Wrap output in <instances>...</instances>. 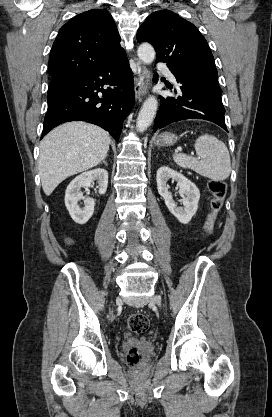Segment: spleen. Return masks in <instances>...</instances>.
Returning <instances> with one entry per match:
<instances>
[{"mask_svg": "<svg viewBox=\"0 0 272 417\" xmlns=\"http://www.w3.org/2000/svg\"><path fill=\"white\" fill-rule=\"evenodd\" d=\"M194 147L197 158L175 153V163L213 181H223L229 177L231 160L229 151L222 141L205 134L196 139Z\"/></svg>", "mask_w": 272, "mask_h": 417, "instance_id": "1", "label": "spleen"}]
</instances>
